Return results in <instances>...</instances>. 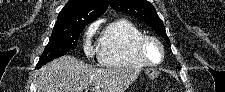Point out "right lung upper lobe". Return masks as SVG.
Returning a JSON list of instances; mask_svg holds the SVG:
<instances>
[{"label":"right lung upper lobe","instance_id":"1","mask_svg":"<svg viewBox=\"0 0 225 92\" xmlns=\"http://www.w3.org/2000/svg\"><path fill=\"white\" fill-rule=\"evenodd\" d=\"M108 8V0H69L58 14L54 27H72L76 23L89 24Z\"/></svg>","mask_w":225,"mask_h":92}]
</instances>
